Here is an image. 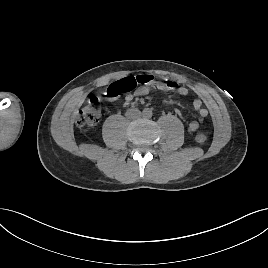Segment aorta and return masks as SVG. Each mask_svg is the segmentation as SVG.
Instances as JSON below:
<instances>
[{
  "instance_id": "aorta-1",
  "label": "aorta",
  "mask_w": 268,
  "mask_h": 268,
  "mask_svg": "<svg viewBox=\"0 0 268 268\" xmlns=\"http://www.w3.org/2000/svg\"><path fill=\"white\" fill-rule=\"evenodd\" d=\"M152 113L150 110H145V116L151 117Z\"/></svg>"
}]
</instances>
